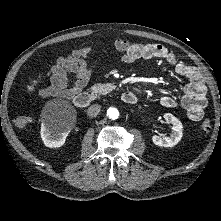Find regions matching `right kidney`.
Returning a JSON list of instances; mask_svg holds the SVG:
<instances>
[{"mask_svg":"<svg viewBox=\"0 0 221 221\" xmlns=\"http://www.w3.org/2000/svg\"><path fill=\"white\" fill-rule=\"evenodd\" d=\"M54 128L50 123H45L41 127V138L45 146L50 148H58L64 145L66 137L69 133V127L66 126L64 131L59 134H53Z\"/></svg>","mask_w":221,"mask_h":221,"instance_id":"right-kidney-1","label":"right kidney"}]
</instances>
